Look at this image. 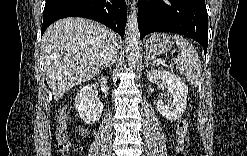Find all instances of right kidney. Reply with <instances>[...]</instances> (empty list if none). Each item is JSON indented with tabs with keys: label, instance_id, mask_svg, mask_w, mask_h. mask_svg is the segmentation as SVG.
<instances>
[{
	"label": "right kidney",
	"instance_id": "right-kidney-1",
	"mask_svg": "<svg viewBox=\"0 0 247 156\" xmlns=\"http://www.w3.org/2000/svg\"><path fill=\"white\" fill-rule=\"evenodd\" d=\"M100 83L107 84V77H101ZM93 87L92 84L82 87L75 97L78 114L86 124L99 121L103 111V104L96 99Z\"/></svg>",
	"mask_w": 247,
	"mask_h": 156
}]
</instances>
